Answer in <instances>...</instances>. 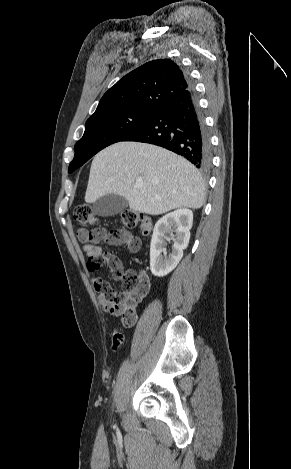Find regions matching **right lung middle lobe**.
<instances>
[{
    "instance_id": "dd1d6c3e",
    "label": "right lung middle lobe",
    "mask_w": 291,
    "mask_h": 469,
    "mask_svg": "<svg viewBox=\"0 0 291 469\" xmlns=\"http://www.w3.org/2000/svg\"><path fill=\"white\" fill-rule=\"evenodd\" d=\"M154 110L131 109L113 115L88 119L83 137L76 143L69 173L110 144L121 141L139 128Z\"/></svg>"
}]
</instances>
